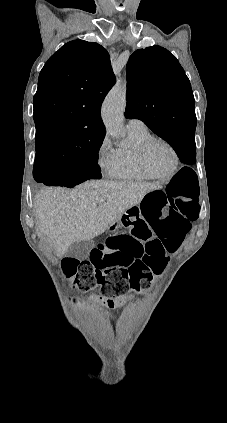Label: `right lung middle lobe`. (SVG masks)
<instances>
[{
  "label": "right lung middle lobe",
  "mask_w": 227,
  "mask_h": 423,
  "mask_svg": "<svg viewBox=\"0 0 227 423\" xmlns=\"http://www.w3.org/2000/svg\"><path fill=\"white\" fill-rule=\"evenodd\" d=\"M105 134L74 138L59 144L36 146V159L55 161L60 168L79 177L100 179L98 152Z\"/></svg>",
  "instance_id": "dd1d6c3e"
}]
</instances>
